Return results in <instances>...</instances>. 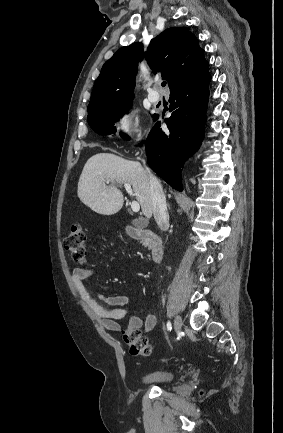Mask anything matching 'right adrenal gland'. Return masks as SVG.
Returning a JSON list of instances; mask_svg holds the SVG:
<instances>
[{"label": "right adrenal gland", "instance_id": "right-adrenal-gland-1", "mask_svg": "<svg viewBox=\"0 0 283 433\" xmlns=\"http://www.w3.org/2000/svg\"><path fill=\"white\" fill-rule=\"evenodd\" d=\"M167 206H168V208H170V204H169V202H167Z\"/></svg>", "mask_w": 283, "mask_h": 433}]
</instances>
